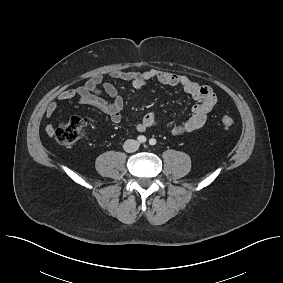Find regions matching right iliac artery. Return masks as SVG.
I'll return each instance as SVG.
<instances>
[{
    "label": "right iliac artery",
    "mask_w": 283,
    "mask_h": 283,
    "mask_svg": "<svg viewBox=\"0 0 283 283\" xmlns=\"http://www.w3.org/2000/svg\"><path fill=\"white\" fill-rule=\"evenodd\" d=\"M137 140H138L140 143H145L147 139H146L145 136L140 135V136L137 137Z\"/></svg>",
    "instance_id": "right-iliac-artery-1"
}]
</instances>
